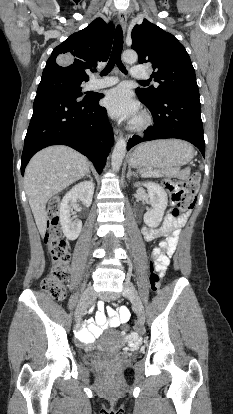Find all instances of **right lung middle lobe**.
<instances>
[{"mask_svg": "<svg viewBox=\"0 0 233 414\" xmlns=\"http://www.w3.org/2000/svg\"><path fill=\"white\" fill-rule=\"evenodd\" d=\"M82 84V81L62 77H42L37 94L52 93L61 97L77 99L83 95L81 91ZM91 96L86 95L83 99H88Z\"/></svg>", "mask_w": 233, "mask_h": 414, "instance_id": "obj_1", "label": "right lung middle lobe"}]
</instances>
